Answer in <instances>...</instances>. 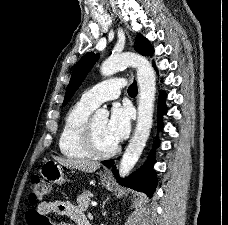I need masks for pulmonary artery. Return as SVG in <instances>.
<instances>
[{"instance_id": "e3ab8cb5", "label": "pulmonary artery", "mask_w": 228, "mask_h": 225, "mask_svg": "<svg viewBox=\"0 0 228 225\" xmlns=\"http://www.w3.org/2000/svg\"><path fill=\"white\" fill-rule=\"evenodd\" d=\"M111 84L114 83H111V81H101L100 85H94V89L85 91L81 96V100L96 108L105 101L116 99L120 95V90H125V85Z\"/></svg>"}]
</instances>
